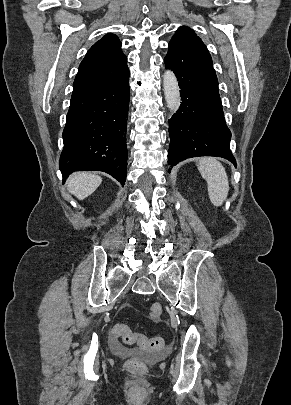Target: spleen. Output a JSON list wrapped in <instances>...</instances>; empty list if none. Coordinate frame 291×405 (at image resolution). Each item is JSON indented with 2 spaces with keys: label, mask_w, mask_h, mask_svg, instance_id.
Masks as SVG:
<instances>
[{
  "label": "spleen",
  "mask_w": 291,
  "mask_h": 405,
  "mask_svg": "<svg viewBox=\"0 0 291 405\" xmlns=\"http://www.w3.org/2000/svg\"><path fill=\"white\" fill-rule=\"evenodd\" d=\"M198 170L207 182L208 195L214 206H221L227 198L229 181L222 164L215 158L205 157L199 161Z\"/></svg>",
  "instance_id": "3e777b00"
}]
</instances>
